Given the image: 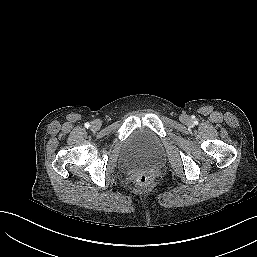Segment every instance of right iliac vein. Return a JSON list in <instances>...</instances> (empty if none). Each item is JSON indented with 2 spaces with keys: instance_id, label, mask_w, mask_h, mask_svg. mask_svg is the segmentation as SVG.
I'll return each instance as SVG.
<instances>
[{
  "instance_id": "1",
  "label": "right iliac vein",
  "mask_w": 257,
  "mask_h": 257,
  "mask_svg": "<svg viewBox=\"0 0 257 257\" xmlns=\"http://www.w3.org/2000/svg\"><path fill=\"white\" fill-rule=\"evenodd\" d=\"M99 128H100L99 122H97V121L92 122V124H91L92 131H97Z\"/></svg>"
}]
</instances>
